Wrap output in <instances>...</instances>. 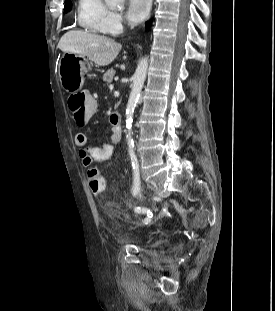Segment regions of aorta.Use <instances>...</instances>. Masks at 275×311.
Wrapping results in <instances>:
<instances>
[{"instance_id":"1","label":"aorta","mask_w":275,"mask_h":311,"mask_svg":"<svg viewBox=\"0 0 275 311\" xmlns=\"http://www.w3.org/2000/svg\"><path fill=\"white\" fill-rule=\"evenodd\" d=\"M105 2L110 6L120 7L124 5L125 0H105ZM147 69H148V57H144L139 61L137 69L134 73L132 89L126 108V128L128 129L127 141L129 151H132L133 149V139L131 136L133 114L140 96V92L143 88L144 81L146 79Z\"/></svg>"}]
</instances>
